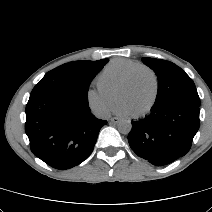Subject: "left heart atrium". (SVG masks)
Masks as SVG:
<instances>
[{
	"mask_svg": "<svg viewBox=\"0 0 212 212\" xmlns=\"http://www.w3.org/2000/svg\"><path fill=\"white\" fill-rule=\"evenodd\" d=\"M116 113L122 116H130L133 114V112L131 111V109L124 103L119 104L116 107Z\"/></svg>",
	"mask_w": 212,
	"mask_h": 212,
	"instance_id": "left-heart-atrium-1",
	"label": "left heart atrium"
}]
</instances>
